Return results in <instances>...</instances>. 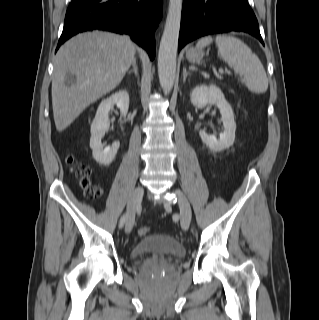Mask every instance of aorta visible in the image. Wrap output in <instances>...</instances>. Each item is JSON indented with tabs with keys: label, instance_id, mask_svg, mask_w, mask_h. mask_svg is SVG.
<instances>
[{
	"label": "aorta",
	"instance_id": "762f6f07",
	"mask_svg": "<svg viewBox=\"0 0 319 320\" xmlns=\"http://www.w3.org/2000/svg\"><path fill=\"white\" fill-rule=\"evenodd\" d=\"M181 11L182 0H169L167 18L158 53L159 81L165 93L172 90L176 75Z\"/></svg>",
	"mask_w": 319,
	"mask_h": 320
}]
</instances>
